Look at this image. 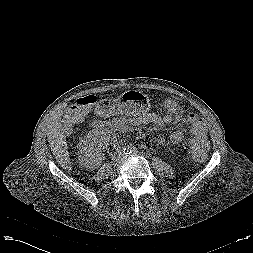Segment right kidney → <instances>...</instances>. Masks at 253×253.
I'll return each instance as SVG.
<instances>
[{"label":"right kidney","mask_w":253,"mask_h":253,"mask_svg":"<svg viewBox=\"0 0 253 253\" xmlns=\"http://www.w3.org/2000/svg\"><path fill=\"white\" fill-rule=\"evenodd\" d=\"M108 140L104 131L92 130L79 142V163L90 170L98 167L104 159Z\"/></svg>","instance_id":"right-kidney-1"}]
</instances>
